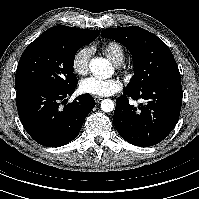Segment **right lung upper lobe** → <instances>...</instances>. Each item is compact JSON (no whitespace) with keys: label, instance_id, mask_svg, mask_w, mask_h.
Masks as SVG:
<instances>
[{"label":"right lung upper lobe","instance_id":"cb5924a9","mask_svg":"<svg viewBox=\"0 0 199 199\" xmlns=\"http://www.w3.org/2000/svg\"><path fill=\"white\" fill-rule=\"evenodd\" d=\"M43 34L55 36L62 39L87 38L94 40L99 36L100 31L59 25L46 30Z\"/></svg>","mask_w":199,"mask_h":199}]
</instances>
